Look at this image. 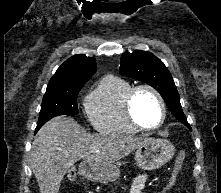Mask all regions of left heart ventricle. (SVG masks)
Instances as JSON below:
<instances>
[{"label": "left heart ventricle", "instance_id": "left-heart-ventricle-1", "mask_svg": "<svg viewBox=\"0 0 221 193\" xmlns=\"http://www.w3.org/2000/svg\"><path fill=\"white\" fill-rule=\"evenodd\" d=\"M133 115L143 126H156L161 119V106L154 94L147 90L138 92L133 102Z\"/></svg>", "mask_w": 221, "mask_h": 193}]
</instances>
